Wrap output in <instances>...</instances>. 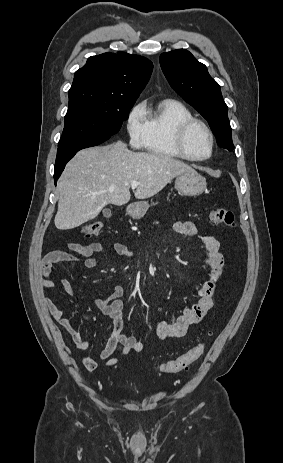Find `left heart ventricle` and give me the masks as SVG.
<instances>
[{"instance_id":"obj_1","label":"left heart ventricle","mask_w":283,"mask_h":463,"mask_svg":"<svg viewBox=\"0 0 283 463\" xmlns=\"http://www.w3.org/2000/svg\"><path fill=\"white\" fill-rule=\"evenodd\" d=\"M186 146L193 156L204 157L210 153V138L201 126L196 125L188 132Z\"/></svg>"}]
</instances>
